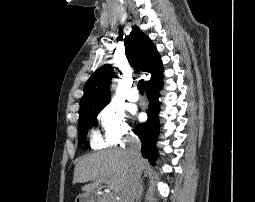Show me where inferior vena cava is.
<instances>
[{
  "mask_svg": "<svg viewBox=\"0 0 255 202\" xmlns=\"http://www.w3.org/2000/svg\"><path fill=\"white\" fill-rule=\"evenodd\" d=\"M128 144L126 151L132 162V169L130 179L120 193L119 202H134L135 198L142 192L140 181L142 172L140 168L141 143L138 137L131 133L128 137Z\"/></svg>",
  "mask_w": 255,
  "mask_h": 202,
  "instance_id": "inferior-vena-cava-1",
  "label": "inferior vena cava"
}]
</instances>
